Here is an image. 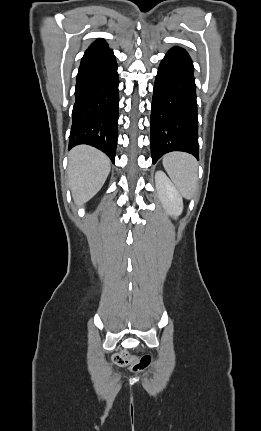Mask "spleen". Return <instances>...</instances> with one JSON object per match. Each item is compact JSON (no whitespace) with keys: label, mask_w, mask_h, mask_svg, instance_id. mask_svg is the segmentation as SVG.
<instances>
[{"label":"spleen","mask_w":261,"mask_h":431,"mask_svg":"<svg viewBox=\"0 0 261 431\" xmlns=\"http://www.w3.org/2000/svg\"><path fill=\"white\" fill-rule=\"evenodd\" d=\"M163 166L179 193L190 199L198 182L196 159L187 153H168L163 157Z\"/></svg>","instance_id":"spleen-1"}]
</instances>
